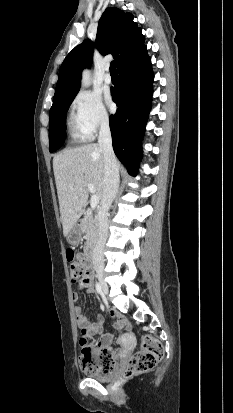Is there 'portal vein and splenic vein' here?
<instances>
[{
	"instance_id": "1",
	"label": "portal vein and splenic vein",
	"mask_w": 233,
	"mask_h": 413,
	"mask_svg": "<svg viewBox=\"0 0 233 413\" xmlns=\"http://www.w3.org/2000/svg\"><path fill=\"white\" fill-rule=\"evenodd\" d=\"M87 188L90 193H92L91 200H90V206L91 208H96V206L99 204L100 198L95 194V189L93 184H88Z\"/></svg>"
}]
</instances>
